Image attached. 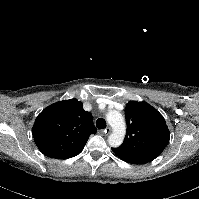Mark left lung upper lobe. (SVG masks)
Listing matches in <instances>:
<instances>
[{"instance_id":"left-lung-upper-lobe-1","label":"left lung upper lobe","mask_w":199,"mask_h":199,"mask_svg":"<svg viewBox=\"0 0 199 199\" xmlns=\"http://www.w3.org/2000/svg\"><path fill=\"white\" fill-rule=\"evenodd\" d=\"M127 133L123 144L112 148L121 158L147 163L167 146L170 132L164 117L145 102L130 101L125 108Z\"/></svg>"}]
</instances>
